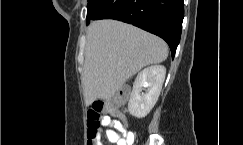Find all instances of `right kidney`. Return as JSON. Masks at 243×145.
Returning a JSON list of instances; mask_svg holds the SVG:
<instances>
[{
  "label": "right kidney",
  "mask_w": 243,
  "mask_h": 145,
  "mask_svg": "<svg viewBox=\"0 0 243 145\" xmlns=\"http://www.w3.org/2000/svg\"><path fill=\"white\" fill-rule=\"evenodd\" d=\"M165 75L166 69L162 65H153L138 73L128 102L131 115L143 118L151 111L160 95Z\"/></svg>",
  "instance_id": "obj_1"
}]
</instances>
